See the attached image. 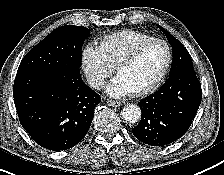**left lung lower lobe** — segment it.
<instances>
[{
    "label": "left lung lower lobe",
    "mask_w": 224,
    "mask_h": 175,
    "mask_svg": "<svg viewBox=\"0 0 224 175\" xmlns=\"http://www.w3.org/2000/svg\"><path fill=\"white\" fill-rule=\"evenodd\" d=\"M201 84L193 68L169 74L158 92L138 102L142 118L133 135L151 146H164L182 137L200 106Z\"/></svg>",
    "instance_id": "obj_1"
}]
</instances>
